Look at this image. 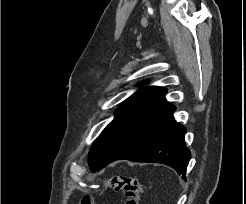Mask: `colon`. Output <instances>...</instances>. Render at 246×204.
Instances as JSON below:
<instances>
[{"label": "colon", "instance_id": "5ec220e1", "mask_svg": "<svg viewBox=\"0 0 246 204\" xmlns=\"http://www.w3.org/2000/svg\"><path fill=\"white\" fill-rule=\"evenodd\" d=\"M105 185L125 197V204H140V187L138 181L127 175H119L105 182ZM78 204H94L90 195H84Z\"/></svg>", "mask_w": 246, "mask_h": 204}]
</instances>
